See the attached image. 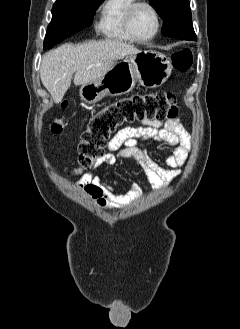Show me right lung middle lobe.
<instances>
[{
  "label": "right lung middle lobe",
  "mask_w": 240,
  "mask_h": 329,
  "mask_svg": "<svg viewBox=\"0 0 240 329\" xmlns=\"http://www.w3.org/2000/svg\"><path fill=\"white\" fill-rule=\"evenodd\" d=\"M104 0H69L55 2L44 48L50 49L65 38L89 26L98 5Z\"/></svg>",
  "instance_id": "1"
}]
</instances>
